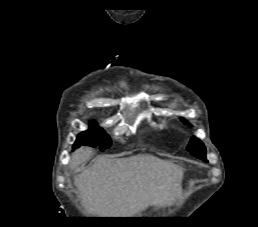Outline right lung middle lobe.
<instances>
[{"label": "right lung middle lobe", "instance_id": "dd1d6c3e", "mask_svg": "<svg viewBox=\"0 0 258 227\" xmlns=\"http://www.w3.org/2000/svg\"><path fill=\"white\" fill-rule=\"evenodd\" d=\"M80 145L99 146L100 150H105L110 147L111 139L102 128L98 127L96 123H92L88 130L77 136L73 148H77Z\"/></svg>", "mask_w": 258, "mask_h": 227}]
</instances>
